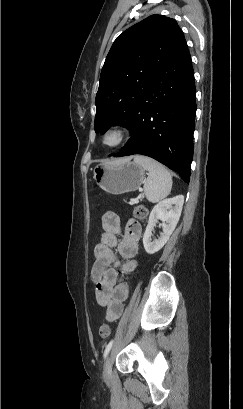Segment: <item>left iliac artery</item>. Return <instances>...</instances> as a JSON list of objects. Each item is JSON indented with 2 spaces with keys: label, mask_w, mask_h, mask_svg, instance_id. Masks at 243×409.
<instances>
[{
  "label": "left iliac artery",
  "mask_w": 243,
  "mask_h": 409,
  "mask_svg": "<svg viewBox=\"0 0 243 409\" xmlns=\"http://www.w3.org/2000/svg\"><path fill=\"white\" fill-rule=\"evenodd\" d=\"M113 343H114V340L112 339V340L106 345V348H105V351H104V355H103L104 358H106V356L108 355L109 351H110L111 348H112Z\"/></svg>",
  "instance_id": "1"
}]
</instances>
